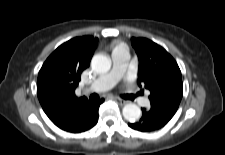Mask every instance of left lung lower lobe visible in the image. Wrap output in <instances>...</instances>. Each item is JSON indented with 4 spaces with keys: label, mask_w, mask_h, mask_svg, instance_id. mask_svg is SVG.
Listing matches in <instances>:
<instances>
[{
    "label": "left lung lower lobe",
    "mask_w": 225,
    "mask_h": 155,
    "mask_svg": "<svg viewBox=\"0 0 225 155\" xmlns=\"http://www.w3.org/2000/svg\"><path fill=\"white\" fill-rule=\"evenodd\" d=\"M140 120L129 123L128 126L141 132H150L164 127L174 116V112L162 108L142 109Z\"/></svg>",
    "instance_id": "1"
}]
</instances>
